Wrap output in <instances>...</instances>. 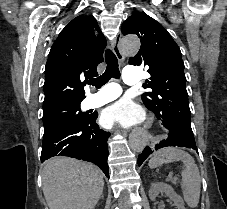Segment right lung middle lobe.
Segmentation results:
<instances>
[{"label":"right lung middle lobe","mask_w":227,"mask_h":209,"mask_svg":"<svg viewBox=\"0 0 227 209\" xmlns=\"http://www.w3.org/2000/svg\"><path fill=\"white\" fill-rule=\"evenodd\" d=\"M81 101L55 102L43 106L44 136L71 123L84 120L86 114L80 110Z\"/></svg>","instance_id":"1"}]
</instances>
